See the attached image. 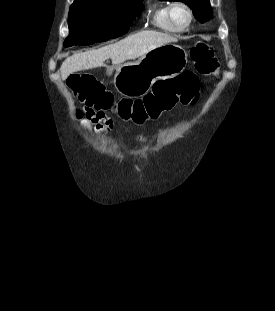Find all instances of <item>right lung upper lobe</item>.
Returning <instances> with one entry per match:
<instances>
[{"label":"right lung upper lobe","instance_id":"obj_1","mask_svg":"<svg viewBox=\"0 0 275 311\" xmlns=\"http://www.w3.org/2000/svg\"><path fill=\"white\" fill-rule=\"evenodd\" d=\"M83 1H88V0H74V2H83Z\"/></svg>","mask_w":275,"mask_h":311}]
</instances>
